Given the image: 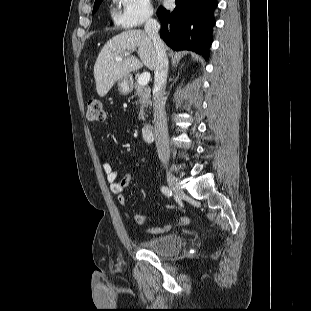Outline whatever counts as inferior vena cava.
Listing matches in <instances>:
<instances>
[{"label":"inferior vena cava","instance_id":"inferior-vena-cava-1","mask_svg":"<svg viewBox=\"0 0 311 311\" xmlns=\"http://www.w3.org/2000/svg\"><path fill=\"white\" fill-rule=\"evenodd\" d=\"M145 32L152 40L156 52L154 71L153 110L155 122V139L160 161L167 164L170 158L168 128L165 112V87L168 75V58L164 42L159 36L160 24L151 17L145 23Z\"/></svg>","mask_w":311,"mask_h":311}]
</instances>
